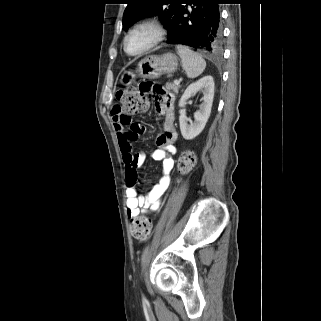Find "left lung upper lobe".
<instances>
[{"label": "left lung upper lobe", "mask_w": 321, "mask_h": 321, "mask_svg": "<svg viewBox=\"0 0 321 321\" xmlns=\"http://www.w3.org/2000/svg\"><path fill=\"white\" fill-rule=\"evenodd\" d=\"M181 0H127L123 14V28L127 30L138 20L158 16L162 25L168 29Z\"/></svg>", "instance_id": "5c2ea615"}]
</instances>
